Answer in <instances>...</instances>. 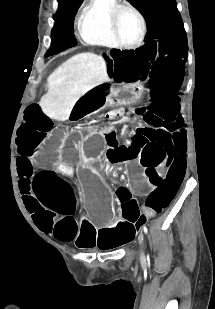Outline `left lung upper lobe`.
Returning <instances> with one entry per match:
<instances>
[{
	"instance_id": "5c2ea615",
	"label": "left lung upper lobe",
	"mask_w": 215,
	"mask_h": 309,
	"mask_svg": "<svg viewBox=\"0 0 215 309\" xmlns=\"http://www.w3.org/2000/svg\"><path fill=\"white\" fill-rule=\"evenodd\" d=\"M147 23L144 41L178 40L187 44V36L175 0H130Z\"/></svg>"
}]
</instances>
